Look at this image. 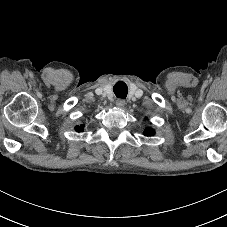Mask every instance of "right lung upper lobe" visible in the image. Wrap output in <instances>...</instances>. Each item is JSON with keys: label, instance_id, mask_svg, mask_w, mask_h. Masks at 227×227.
<instances>
[{"label": "right lung upper lobe", "instance_id": "cb5924a9", "mask_svg": "<svg viewBox=\"0 0 227 227\" xmlns=\"http://www.w3.org/2000/svg\"><path fill=\"white\" fill-rule=\"evenodd\" d=\"M83 128H84V126H82V125H81V126H77V127H76V131L80 132V131L83 130Z\"/></svg>", "mask_w": 227, "mask_h": 227}]
</instances>
